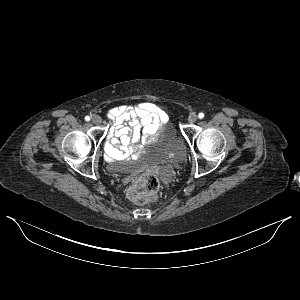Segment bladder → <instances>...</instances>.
Here are the masks:
<instances>
[{
  "instance_id": "1",
  "label": "bladder",
  "mask_w": 300,
  "mask_h": 300,
  "mask_svg": "<svg viewBox=\"0 0 300 300\" xmlns=\"http://www.w3.org/2000/svg\"><path fill=\"white\" fill-rule=\"evenodd\" d=\"M176 135L174 130H169V132L162 138L157 137L153 142L156 146L160 147L158 161L160 163H167L174 166H178L182 163L183 155L179 150L176 149ZM125 163L118 161L109 162L107 164V169L111 172H122L129 169Z\"/></svg>"
}]
</instances>
